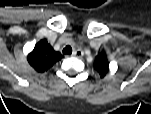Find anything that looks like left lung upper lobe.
<instances>
[{"mask_svg":"<svg viewBox=\"0 0 151 114\" xmlns=\"http://www.w3.org/2000/svg\"><path fill=\"white\" fill-rule=\"evenodd\" d=\"M94 68L102 78L109 72V63L105 54H99L95 58Z\"/></svg>","mask_w":151,"mask_h":114,"instance_id":"5c2ea615","label":"left lung upper lobe"}]
</instances>
